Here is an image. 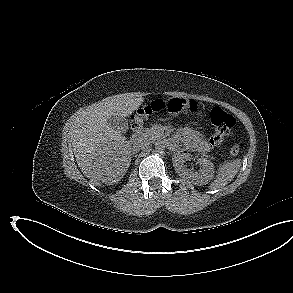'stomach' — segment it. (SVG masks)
Here are the masks:
<instances>
[{
  "instance_id": "stomach-1",
  "label": "stomach",
  "mask_w": 293,
  "mask_h": 293,
  "mask_svg": "<svg viewBox=\"0 0 293 293\" xmlns=\"http://www.w3.org/2000/svg\"><path fill=\"white\" fill-rule=\"evenodd\" d=\"M188 106V101L185 98L174 97L167 102L166 109L172 116H177L182 113Z\"/></svg>"
}]
</instances>
